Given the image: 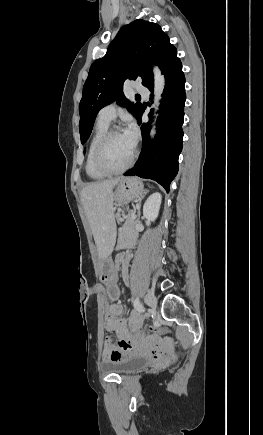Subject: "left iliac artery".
I'll return each mask as SVG.
<instances>
[{
  "mask_svg": "<svg viewBox=\"0 0 263 435\" xmlns=\"http://www.w3.org/2000/svg\"><path fill=\"white\" fill-rule=\"evenodd\" d=\"M133 304H134V308L136 310H138L139 312H143L144 311V308H143V306H142V304H141V302H140L138 297L134 300Z\"/></svg>",
  "mask_w": 263,
  "mask_h": 435,
  "instance_id": "44dca946",
  "label": "left iliac artery"
}]
</instances>
